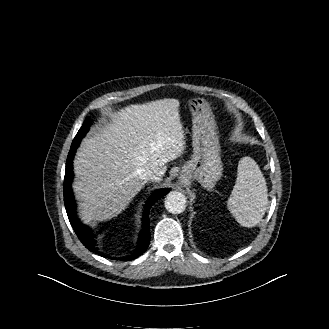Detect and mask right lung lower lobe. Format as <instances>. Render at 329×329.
Here are the masks:
<instances>
[{
    "mask_svg": "<svg viewBox=\"0 0 329 329\" xmlns=\"http://www.w3.org/2000/svg\"><path fill=\"white\" fill-rule=\"evenodd\" d=\"M74 150L70 151L67 157L66 161V169H65V177H64V203L66 212L70 221V224L72 228L74 229L77 237L82 242V244L89 249L90 251L97 252L99 251L96 247V240L94 239V236L92 234V231L85 225H83L79 219L76 216V210H75V200L73 197L72 189H71V183L73 179V170H72V160L75 153ZM170 191L169 188L161 189L156 192H154L149 199L146 202L145 209H144V216H143V227L141 230V234L139 237V242L137 245V249L135 253L131 256H128L126 258H121V260L124 261H130L133 259H136L140 255L143 254V252L148 248L149 242H150V231H149V209L152 206V204L158 200L160 197L164 196ZM116 259V258H114Z\"/></svg>",
    "mask_w": 329,
    "mask_h": 329,
    "instance_id": "98d812e1",
    "label": "right lung lower lobe"
}]
</instances>
